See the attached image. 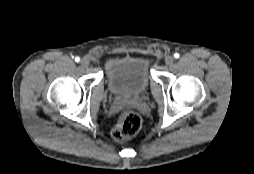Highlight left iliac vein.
Here are the masks:
<instances>
[{"mask_svg":"<svg viewBox=\"0 0 254 174\" xmlns=\"http://www.w3.org/2000/svg\"><path fill=\"white\" fill-rule=\"evenodd\" d=\"M174 60H175L174 57L171 56V55H169V56H167V57L165 58V63H166L168 66H170V65L173 64Z\"/></svg>","mask_w":254,"mask_h":174,"instance_id":"obj_1","label":"left iliac vein"}]
</instances>
